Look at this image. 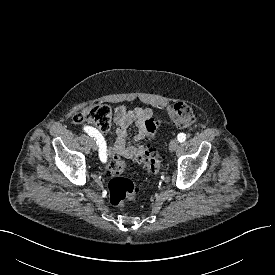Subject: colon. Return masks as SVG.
Listing matches in <instances>:
<instances>
[{"mask_svg":"<svg viewBox=\"0 0 275 275\" xmlns=\"http://www.w3.org/2000/svg\"><path fill=\"white\" fill-rule=\"evenodd\" d=\"M168 112L173 124L179 128H186L194 121L193 109L185 102L173 104ZM73 122L76 124L90 122L95 124L101 132H107L112 123V110L105 104L89 105L73 116ZM147 127L150 136H152L156 130L155 121L149 120ZM136 160L151 173H157L163 167L161 159L150 146L141 150L136 155ZM123 171L124 163L119 159L112 160L108 165L110 174L108 183L109 200L116 207H122L127 201L134 200L138 192L134 182L125 177Z\"/></svg>","mask_w":275,"mask_h":275,"instance_id":"5ec220e1","label":"colon"}]
</instances>
